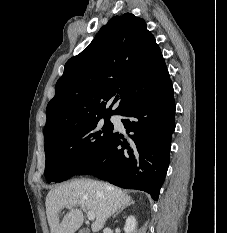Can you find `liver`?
<instances>
[{
	"label": "liver",
	"instance_id": "1",
	"mask_svg": "<svg viewBox=\"0 0 227 233\" xmlns=\"http://www.w3.org/2000/svg\"><path fill=\"white\" fill-rule=\"evenodd\" d=\"M131 197L111 184L90 180H74L51 189L46 196V213L51 233H74L84 220L78 206L95 214L92 231L99 232L106 220L121 208L132 203ZM69 212L60 222L63 208Z\"/></svg>",
	"mask_w": 227,
	"mask_h": 233
}]
</instances>
